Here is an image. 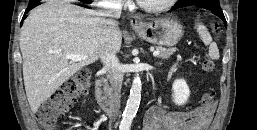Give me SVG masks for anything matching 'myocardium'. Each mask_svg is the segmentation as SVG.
<instances>
[{
  "label": "myocardium",
  "mask_w": 257,
  "mask_h": 130,
  "mask_svg": "<svg viewBox=\"0 0 257 130\" xmlns=\"http://www.w3.org/2000/svg\"><path fill=\"white\" fill-rule=\"evenodd\" d=\"M177 0H166L163 3L155 6H150L138 1L139 7L149 13H160L171 8Z\"/></svg>",
  "instance_id": "1"
}]
</instances>
